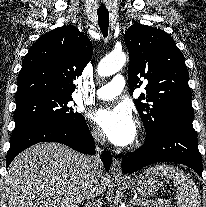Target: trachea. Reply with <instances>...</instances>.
Segmentation results:
<instances>
[{
  "label": "trachea",
  "instance_id": "trachea-1",
  "mask_svg": "<svg viewBox=\"0 0 206 207\" xmlns=\"http://www.w3.org/2000/svg\"><path fill=\"white\" fill-rule=\"evenodd\" d=\"M98 24L104 37L108 35L109 27V12L108 11H97Z\"/></svg>",
  "mask_w": 206,
  "mask_h": 207
}]
</instances>
